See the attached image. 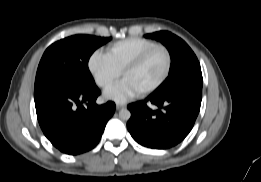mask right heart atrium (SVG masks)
<instances>
[{
    "mask_svg": "<svg viewBox=\"0 0 261 182\" xmlns=\"http://www.w3.org/2000/svg\"><path fill=\"white\" fill-rule=\"evenodd\" d=\"M88 70L96 85L104 90L110 88L121 75L106 53L101 51L91 54L88 60Z\"/></svg>",
    "mask_w": 261,
    "mask_h": 182,
    "instance_id": "1",
    "label": "right heart atrium"
}]
</instances>
